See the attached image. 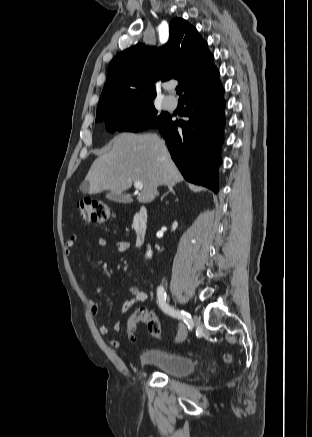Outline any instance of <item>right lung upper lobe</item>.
<instances>
[{"label": "right lung upper lobe", "instance_id": "cb5924a9", "mask_svg": "<svg viewBox=\"0 0 312 437\" xmlns=\"http://www.w3.org/2000/svg\"><path fill=\"white\" fill-rule=\"evenodd\" d=\"M169 31V41L162 47L138 43L113 58L96 119L124 106L152 102L155 81L177 79L185 94L218 72L207 43L194 27L175 18Z\"/></svg>", "mask_w": 312, "mask_h": 437}]
</instances>
